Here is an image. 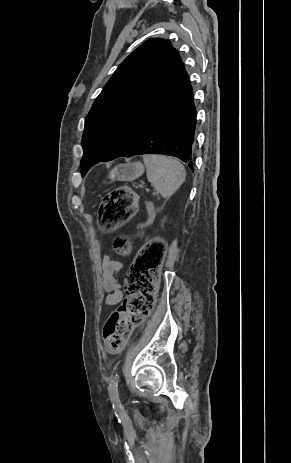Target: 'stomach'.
Segmentation results:
<instances>
[{"label":"stomach","instance_id":"0dacf381","mask_svg":"<svg viewBox=\"0 0 291 463\" xmlns=\"http://www.w3.org/2000/svg\"><path fill=\"white\" fill-rule=\"evenodd\" d=\"M144 173V166L141 163H126L116 166L109 173L112 181H133Z\"/></svg>","mask_w":291,"mask_h":463}]
</instances>
